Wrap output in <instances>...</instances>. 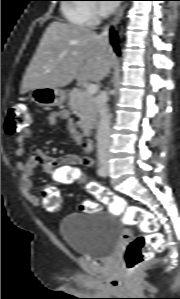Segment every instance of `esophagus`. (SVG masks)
Wrapping results in <instances>:
<instances>
[{"label":"esophagus","mask_w":180,"mask_h":299,"mask_svg":"<svg viewBox=\"0 0 180 299\" xmlns=\"http://www.w3.org/2000/svg\"><path fill=\"white\" fill-rule=\"evenodd\" d=\"M124 9H125V5H121L120 8L117 11L115 17L111 21V26L115 27V26H117L120 23L121 18H122L123 13H124Z\"/></svg>","instance_id":"esophagus-1"}]
</instances>
